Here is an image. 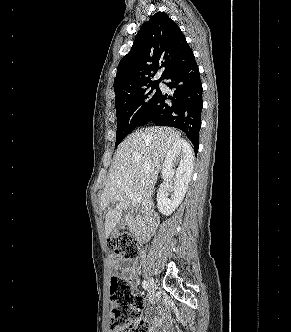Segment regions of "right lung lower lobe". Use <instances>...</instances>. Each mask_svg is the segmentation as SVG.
<instances>
[{"label":"right lung lower lobe","instance_id":"obj_1","mask_svg":"<svg viewBox=\"0 0 291 332\" xmlns=\"http://www.w3.org/2000/svg\"><path fill=\"white\" fill-rule=\"evenodd\" d=\"M165 79L169 80L165 84L174 89L173 97L160 92L140 126L152 122L178 128L187 134L197 153L203 90L195 58L173 69ZM168 99L172 104L167 103Z\"/></svg>","mask_w":291,"mask_h":332}]
</instances>
